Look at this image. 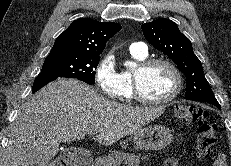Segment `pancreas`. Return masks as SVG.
I'll use <instances>...</instances> for the list:
<instances>
[{
	"label": "pancreas",
	"mask_w": 231,
	"mask_h": 166,
	"mask_svg": "<svg viewBox=\"0 0 231 166\" xmlns=\"http://www.w3.org/2000/svg\"><path fill=\"white\" fill-rule=\"evenodd\" d=\"M147 156L123 153L120 151H111L108 156L98 157L91 166H139L141 160Z\"/></svg>",
	"instance_id": "obj_1"
}]
</instances>
